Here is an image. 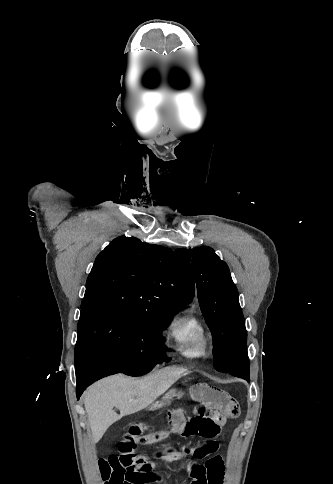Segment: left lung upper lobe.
<instances>
[{
    "label": "left lung upper lobe",
    "instance_id": "1",
    "mask_svg": "<svg viewBox=\"0 0 333 484\" xmlns=\"http://www.w3.org/2000/svg\"><path fill=\"white\" fill-rule=\"evenodd\" d=\"M197 285L203 316L212 333L215 369L249 377V368L233 362V355L247 342L245 321L227 264L210 247L177 249Z\"/></svg>",
    "mask_w": 333,
    "mask_h": 484
}]
</instances>
